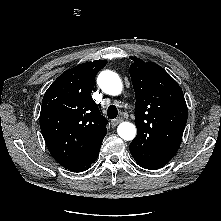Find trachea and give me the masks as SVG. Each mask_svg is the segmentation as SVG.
<instances>
[{"label":"trachea","instance_id":"trachea-1","mask_svg":"<svg viewBox=\"0 0 221 221\" xmlns=\"http://www.w3.org/2000/svg\"><path fill=\"white\" fill-rule=\"evenodd\" d=\"M117 115H118L117 107L115 105H110L107 109L108 118L114 119L117 117Z\"/></svg>","mask_w":221,"mask_h":221}]
</instances>
